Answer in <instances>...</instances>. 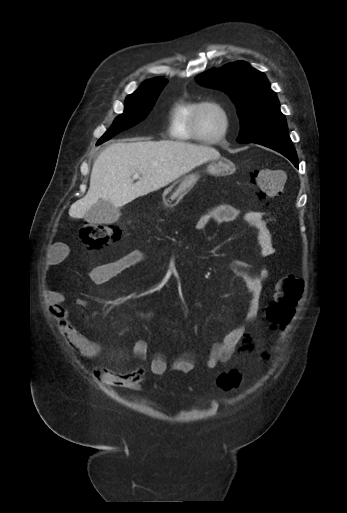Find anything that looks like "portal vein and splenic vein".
Returning <instances> with one entry per match:
<instances>
[{"label":"portal vein and splenic vein","instance_id":"18ae733b","mask_svg":"<svg viewBox=\"0 0 347 513\" xmlns=\"http://www.w3.org/2000/svg\"><path fill=\"white\" fill-rule=\"evenodd\" d=\"M133 178H140V174L139 173L134 174Z\"/></svg>","mask_w":347,"mask_h":513}]
</instances>
